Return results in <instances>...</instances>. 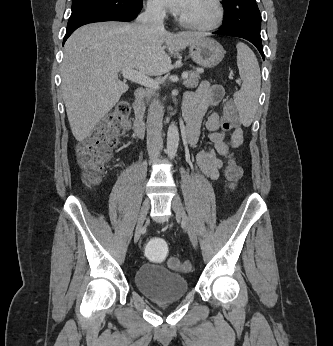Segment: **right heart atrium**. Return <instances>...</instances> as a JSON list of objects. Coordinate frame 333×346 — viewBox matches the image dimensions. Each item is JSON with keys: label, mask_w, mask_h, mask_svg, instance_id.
I'll use <instances>...</instances> for the list:
<instances>
[{"label": "right heart atrium", "mask_w": 333, "mask_h": 346, "mask_svg": "<svg viewBox=\"0 0 333 346\" xmlns=\"http://www.w3.org/2000/svg\"><path fill=\"white\" fill-rule=\"evenodd\" d=\"M146 6L148 12L153 16L161 17L165 13L161 0H147Z\"/></svg>", "instance_id": "d8ad5b80"}]
</instances>
